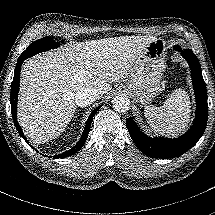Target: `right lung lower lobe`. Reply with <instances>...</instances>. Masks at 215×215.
I'll return each instance as SVG.
<instances>
[{
  "instance_id": "98d812e1",
  "label": "right lung lower lobe",
  "mask_w": 215,
  "mask_h": 215,
  "mask_svg": "<svg viewBox=\"0 0 215 215\" xmlns=\"http://www.w3.org/2000/svg\"><path fill=\"white\" fill-rule=\"evenodd\" d=\"M25 59H27L26 56H20L19 59H18V62L16 64L15 72H14V78H13L12 85H11L10 101H11L12 118H13L15 127H16L17 131L19 132V134L21 135V137L26 141V143L28 145H30L28 140L25 138V136H24V134L22 132V129L19 126L18 121H17V95H18V92H19L20 70H21V65H22V63H23V61ZM99 108L100 107H98L97 109L92 111V113L88 117V120L86 122L83 134H82L79 142L73 148H71L70 150H68V151H66L64 153L55 155V156H51V157H53V158L68 157V156H71V155L77 153L83 147V145L86 142V139L88 137V134H89L92 119H93L94 115L96 114V112L99 110Z\"/></svg>"
}]
</instances>
